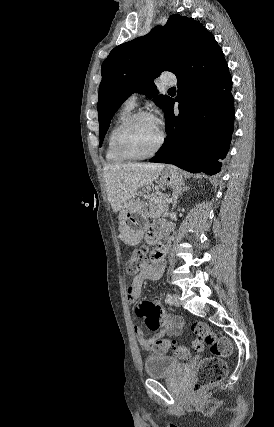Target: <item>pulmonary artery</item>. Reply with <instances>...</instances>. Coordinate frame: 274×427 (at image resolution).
I'll use <instances>...</instances> for the list:
<instances>
[{"label":"pulmonary artery","instance_id":"obj_1","mask_svg":"<svg viewBox=\"0 0 274 427\" xmlns=\"http://www.w3.org/2000/svg\"><path fill=\"white\" fill-rule=\"evenodd\" d=\"M165 82L168 84V85H171V84H174L175 83V78L174 77H171V76H168L166 79H165ZM137 106V96L134 94V95H131L126 101H125V103H124V107L126 108V109H130V110H132V109H134L135 107Z\"/></svg>","mask_w":274,"mask_h":427}]
</instances>
